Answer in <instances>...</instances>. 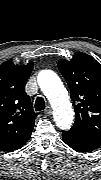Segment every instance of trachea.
<instances>
[{
    "instance_id": "3493384b",
    "label": "trachea",
    "mask_w": 101,
    "mask_h": 180,
    "mask_svg": "<svg viewBox=\"0 0 101 180\" xmlns=\"http://www.w3.org/2000/svg\"><path fill=\"white\" fill-rule=\"evenodd\" d=\"M35 109L36 111H42L45 109V102L42 97H38L35 101Z\"/></svg>"
}]
</instances>
